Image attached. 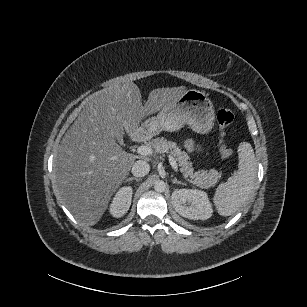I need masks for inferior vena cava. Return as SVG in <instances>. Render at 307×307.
<instances>
[{"instance_id":"inferior-vena-cava-1","label":"inferior vena cava","mask_w":307,"mask_h":307,"mask_svg":"<svg viewBox=\"0 0 307 307\" xmlns=\"http://www.w3.org/2000/svg\"><path fill=\"white\" fill-rule=\"evenodd\" d=\"M150 171V165L143 160L136 161L132 166V174L135 177H143Z\"/></svg>"}]
</instances>
